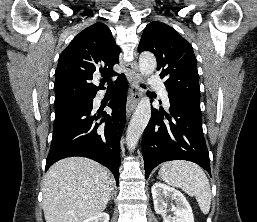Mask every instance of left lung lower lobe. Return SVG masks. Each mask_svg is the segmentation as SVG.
<instances>
[{
    "instance_id": "0a47b994",
    "label": "left lung lower lobe",
    "mask_w": 257,
    "mask_h": 222,
    "mask_svg": "<svg viewBox=\"0 0 257 222\" xmlns=\"http://www.w3.org/2000/svg\"><path fill=\"white\" fill-rule=\"evenodd\" d=\"M170 114L152 109L144 130L142 153L145 176L160 163L188 160L197 163L210 174V159L202 130L200 102L176 93H169Z\"/></svg>"
}]
</instances>
